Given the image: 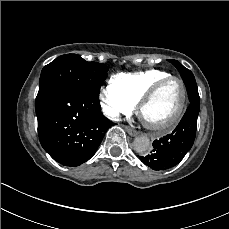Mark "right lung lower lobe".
Instances as JSON below:
<instances>
[{
    "label": "right lung lower lobe",
    "mask_w": 229,
    "mask_h": 229,
    "mask_svg": "<svg viewBox=\"0 0 229 229\" xmlns=\"http://www.w3.org/2000/svg\"><path fill=\"white\" fill-rule=\"evenodd\" d=\"M35 109L42 147L54 160L70 167L90 159L114 125L101 113L99 95L75 85L51 90L35 103Z\"/></svg>",
    "instance_id": "right-lung-lower-lobe-1"
}]
</instances>
